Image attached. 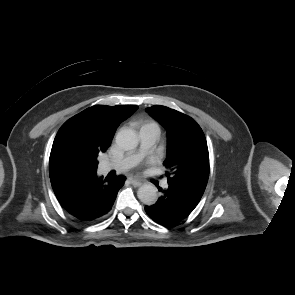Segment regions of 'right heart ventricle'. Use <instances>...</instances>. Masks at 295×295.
Instances as JSON below:
<instances>
[{
  "mask_svg": "<svg viewBox=\"0 0 295 295\" xmlns=\"http://www.w3.org/2000/svg\"><path fill=\"white\" fill-rule=\"evenodd\" d=\"M142 127L150 128L153 131H155L158 135L160 134L159 125L155 121L150 120L146 122Z\"/></svg>",
  "mask_w": 295,
  "mask_h": 295,
  "instance_id": "1",
  "label": "right heart ventricle"
}]
</instances>
